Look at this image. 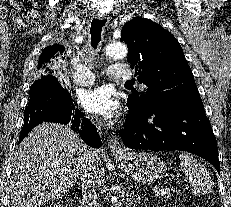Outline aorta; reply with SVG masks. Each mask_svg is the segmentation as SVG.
<instances>
[{"label":"aorta","mask_w":231,"mask_h":207,"mask_svg":"<svg viewBox=\"0 0 231 207\" xmlns=\"http://www.w3.org/2000/svg\"><path fill=\"white\" fill-rule=\"evenodd\" d=\"M103 51L107 57L112 59H123L128 54L127 46L120 42L107 45Z\"/></svg>","instance_id":"obj_1"}]
</instances>
